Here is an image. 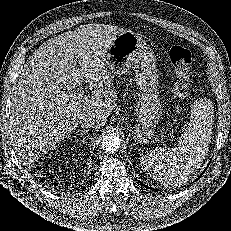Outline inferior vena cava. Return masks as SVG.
<instances>
[{
    "instance_id": "inferior-vena-cava-1",
    "label": "inferior vena cava",
    "mask_w": 231,
    "mask_h": 231,
    "mask_svg": "<svg viewBox=\"0 0 231 231\" xmlns=\"http://www.w3.org/2000/svg\"><path fill=\"white\" fill-rule=\"evenodd\" d=\"M80 125L82 128H91V127H94L95 124H96V120L93 116H90V115H83L81 118H80V121H79Z\"/></svg>"
}]
</instances>
